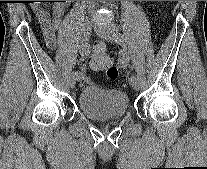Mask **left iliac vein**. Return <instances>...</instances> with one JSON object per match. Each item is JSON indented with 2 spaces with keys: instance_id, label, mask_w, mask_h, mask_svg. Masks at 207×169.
<instances>
[{
  "instance_id": "4c4485c4",
  "label": "left iliac vein",
  "mask_w": 207,
  "mask_h": 169,
  "mask_svg": "<svg viewBox=\"0 0 207 169\" xmlns=\"http://www.w3.org/2000/svg\"><path fill=\"white\" fill-rule=\"evenodd\" d=\"M94 31L98 36L108 41L115 42L118 44H121L123 42L122 35L118 32V30L113 24L104 25V26H95ZM129 83L135 90L140 89V81L138 78L129 81Z\"/></svg>"
}]
</instances>
